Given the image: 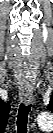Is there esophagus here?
<instances>
[{
	"instance_id": "esophagus-1",
	"label": "esophagus",
	"mask_w": 53,
	"mask_h": 133,
	"mask_svg": "<svg viewBox=\"0 0 53 133\" xmlns=\"http://www.w3.org/2000/svg\"><path fill=\"white\" fill-rule=\"evenodd\" d=\"M20 98L21 101L25 104V105H29L33 102V94L32 91L29 89H23L20 92Z\"/></svg>"
}]
</instances>
